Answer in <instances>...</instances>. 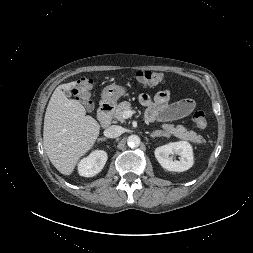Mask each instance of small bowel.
I'll return each instance as SVG.
<instances>
[{"instance_id":"obj_1","label":"small bowel","mask_w":253,"mask_h":253,"mask_svg":"<svg viewBox=\"0 0 253 253\" xmlns=\"http://www.w3.org/2000/svg\"><path fill=\"white\" fill-rule=\"evenodd\" d=\"M170 91L162 90L153 98L142 93L139 96L140 103L147 108L146 117L149 121H172L189 115L195 108L193 99H184L170 104Z\"/></svg>"}]
</instances>
